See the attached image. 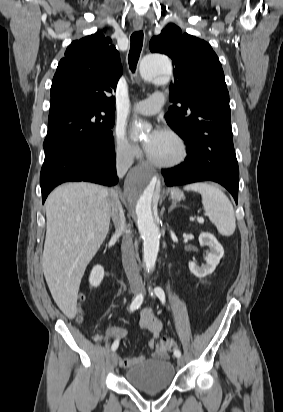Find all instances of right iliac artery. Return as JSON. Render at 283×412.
I'll return each mask as SVG.
<instances>
[{
  "label": "right iliac artery",
  "instance_id": "82829eb1",
  "mask_svg": "<svg viewBox=\"0 0 283 412\" xmlns=\"http://www.w3.org/2000/svg\"><path fill=\"white\" fill-rule=\"evenodd\" d=\"M143 302V294L140 293L134 299L132 300V303L130 305V311H135L138 309ZM119 346V339L115 340L114 343L112 344L111 350L115 351Z\"/></svg>",
  "mask_w": 283,
  "mask_h": 412
}]
</instances>
